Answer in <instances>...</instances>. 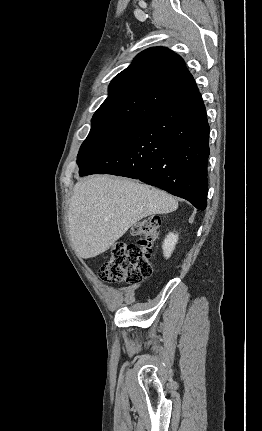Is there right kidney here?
<instances>
[{
	"label": "right kidney",
	"mask_w": 262,
	"mask_h": 431,
	"mask_svg": "<svg viewBox=\"0 0 262 431\" xmlns=\"http://www.w3.org/2000/svg\"><path fill=\"white\" fill-rule=\"evenodd\" d=\"M178 241V235L174 233H169L163 243V253L166 258H169L175 245Z\"/></svg>",
	"instance_id": "ca27d5eb"
}]
</instances>
